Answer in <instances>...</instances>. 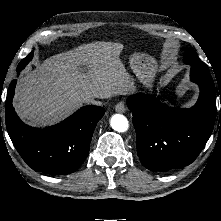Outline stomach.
Masks as SVG:
<instances>
[{
	"label": "stomach",
	"mask_w": 221,
	"mask_h": 221,
	"mask_svg": "<svg viewBox=\"0 0 221 221\" xmlns=\"http://www.w3.org/2000/svg\"><path fill=\"white\" fill-rule=\"evenodd\" d=\"M130 67L142 84L151 88L157 73V61L145 53H134L130 57Z\"/></svg>",
	"instance_id": "obj_1"
}]
</instances>
